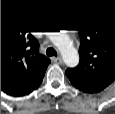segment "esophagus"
<instances>
[{
    "instance_id": "obj_1",
    "label": "esophagus",
    "mask_w": 115,
    "mask_h": 114,
    "mask_svg": "<svg viewBox=\"0 0 115 114\" xmlns=\"http://www.w3.org/2000/svg\"><path fill=\"white\" fill-rule=\"evenodd\" d=\"M52 61L56 64H62L63 63V60L61 57H53L52 58Z\"/></svg>"
}]
</instances>
